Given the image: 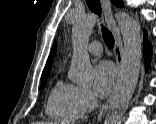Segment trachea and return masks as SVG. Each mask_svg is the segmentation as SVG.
Here are the masks:
<instances>
[{"label": "trachea", "instance_id": "obj_1", "mask_svg": "<svg viewBox=\"0 0 156 124\" xmlns=\"http://www.w3.org/2000/svg\"><path fill=\"white\" fill-rule=\"evenodd\" d=\"M87 5L89 7V9L100 15L101 14V5H100V1L99 0H86ZM102 36L103 39L105 41V44L108 48H113L114 46V37L112 35V33L106 29L105 27H102Z\"/></svg>", "mask_w": 156, "mask_h": 124}]
</instances>
